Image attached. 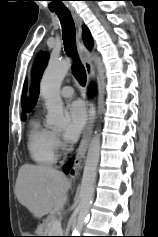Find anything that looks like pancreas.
<instances>
[{
    "label": "pancreas",
    "instance_id": "cf45deb5",
    "mask_svg": "<svg viewBox=\"0 0 158 237\" xmlns=\"http://www.w3.org/2000/svg\"><path fill=\"white\" fill-rule=\"evenodd\" d=\"M45 235L46 236H58L61 235L60 230L58 228H54L52 224V220H47L45 224Z\"/></svg>",
    "mask_w": 158,
    "mask_h": 237
}]
</instances>
